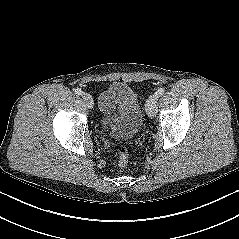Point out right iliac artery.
<instances>
[{"instance_id": "1", "label": "right iliac artery", "mask_w": 239, "mask_h": 239, "mask_svg": "<svg viewBox=\"0 0 239 239\" xmlns=\"http://www.w3.org/2000/svg\"><path fill=\"white\" fill-rule=\"evenodd\" d=\"M75 93L78 94V95H81L82 94V90L80 88H76L75 90Z\"/></svg>"}]
</instances>
